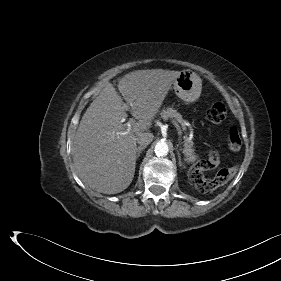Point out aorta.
Segmentation results:
<instances>
[{"label": "aorta", "mask_w": 281, "mask_h": 281, "mask_svg": "<svg viewBox=\"0 0 281 281\" xmlns=\"http://www.w3.org/2000/svg\"><path fill=\"white\" fill-rule=\"evenodd\" d=\"M154 151L157 156H166L168 154L169 148L166 142L159 141L156 143Z\"/></svg>", "instance_id": "1"}]
</instances>
